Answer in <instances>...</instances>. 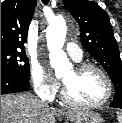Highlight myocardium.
I'll list each match as a JSON object with an SVG mask.
<instances>
[{
    "instance_id": "myocardium-1",
    "label": "myocardium",
    "mask_w": 122,
    "mask_h": 123,
    "mask_svg": "<svg viewBox=\"0 0 122 123\" xmlns=\"http://www.w3.org/2000/svg\"><path fill=\"white\" fill-rule=\"evenodd\" d=\"M74 70L79 74L83 73L87 70L97 71L98 73H100L102 75V77L106 81L108 91H107V95L105 96V98L102 99L101 101L95 102V103H87V102H83V101L76 99L71 94L68 86L63 82L62 98L66 103H68L72 106H77V107L98 108V107L105 105L111 99V97L113 95V82H112L110 76L108 75V73L103 68H101L98 65L92 64V63H80L75 66Z\"/></svg>"
}]
</instances>
